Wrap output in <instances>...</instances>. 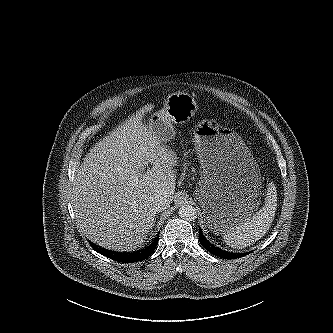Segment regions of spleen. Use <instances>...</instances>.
Returning <instances> with one entry per match:
<instances>
[{"mask_svg":"<svg viewBox=\"0 0 333 333\" xmlns=\"http://www.w3.org/2000/svg\"><path fill=\"white\" fill-rule=\"evenodd\" d=\"M277 206V192L274 183H269L265 204L255 214L245 218L223 235L224 241L232 248L242 249L261 239L273 222Z\"/></svg>","mask_w":333,"mask_h":333,"instance_id":"obj_1","label":"spleen"}]
</instances>
